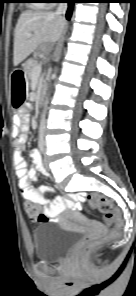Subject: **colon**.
<instances>
[{
    "label": "colon",
    "instance_id": "5ec220e1",
    "mask_svg": "<svg viewBox=\"0 0 136 296\" xmlns=\"http://www.w3.org/2000/svg\"><path fill=\"white\" fill-rule=\"evenodd\" d=\"M81 200L87 201L90 206L102 212L104 214L105 222L108 225L114 226L116 228L121 227L122 214L117 208L113 206L109 199L98 195H84L81 196ZM24 209L29 215L37 217V220L40 223L47 222L45 216L42 213H39V206L36 203L26 202L24 204ZM99 243L100 238L89 236L85 238L79 247L78 253L80 255L89 254Z\"/></svg>",
    "mask_w": 136,
    "mask_h": 296
}]
</instances>
